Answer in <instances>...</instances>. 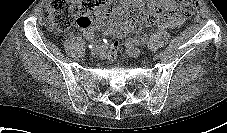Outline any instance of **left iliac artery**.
<instances>
[{"mask_svg": "<svg viewBox=\"0 0 227 133\" xmlns=\"http://www.w3.org/2000/svg\"><path fill=\"white\" fill-rule=\"evenodd\" d=\"M145 42H146V40L145 41L144 40L143 41H139V40H136V39H128L126 43L128 45H134V44L135 45H141V44H144Z\"/></svg>", "mask_w": 227, "mask_h": 133, "instance_id": "1", "label": "left iliac artery"}]
</instances>
